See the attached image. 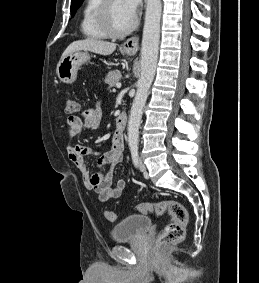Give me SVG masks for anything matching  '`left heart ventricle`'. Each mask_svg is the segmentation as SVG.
<instances>
[{
    "instance_id": "obj_1",
    "label": "left heart ventricle",
    "mask_w": 259,
    "mask_h": 283,
    "mask_svg": "<svg viewBox=\"0 0 259 283\" xmlns=\"http://www.w3.org/2000/svg\"><path fill=\"white\" fill-rule=\"evenodd\" d=\"M111 18L114 27L119 31L126 29L133 21V17L124 8L122 0H113Z\"/></svg>"
}]
</instances>
